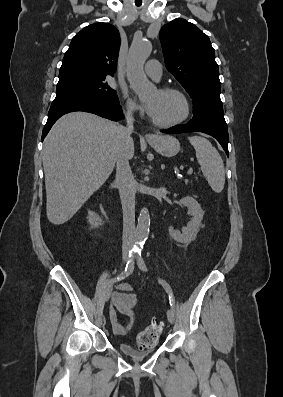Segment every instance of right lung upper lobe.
Segmentation results:
<instances>
[{
    "mask_svg": "<svg viewBox=\"0 0 283 397\" xmlns=\"http://www.w3.org/2000/svg\"><path fill=\"white\" fill-rule=\"evenodd\" d=\"M119 47L117 28L108 23L91 24L73 37L64 55L59 75L74 72L113 76Z\"/></svg>",
    "mask_w": 283,
    "mask_h": 397,
    "instance_id": "cb5924a9",
    "label": "right lung upper lobe"
}]
</instances>
